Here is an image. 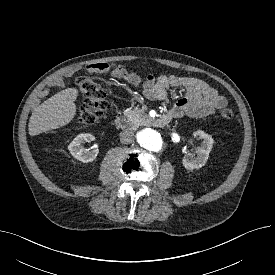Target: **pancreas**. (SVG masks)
I'll list each match as a JSON object with an SVG mask.
<instances>
[{"instance_id": "1", "label": "pancreas", "mask_w": 275, "mask_h": 275, "mask_svg": "<svg viewBox=\"0 0 275 275\" xmlns=\"http://www.w3.org/2000/svg\"><path fill=\"white\" fill-rule=\"evenodd\" d=\"M124 115L129 118L133 123H139L140 120L146 117L144 110L135 107L134 109H128Z\"/></svg>"}]
</instances>
